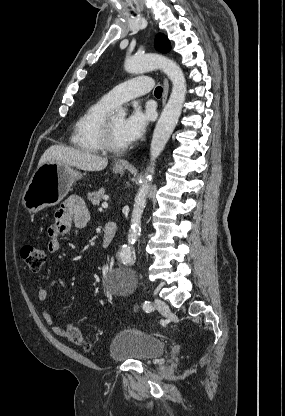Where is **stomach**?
Returning <instances> with one entry per match:
<instances>
[{"label":"stomach","mask_w":285,"mask_h":416,"mask_svg":"<svg viewBox=\"0 0 285 416\" xmlns=\"http://www.w3.org/2000/svg\"><path fill=\"white\" fill-rule=\"evenodd\" d=\"M126 166L115 164L114 174H124ZM131 170V168H127ZM84 174H79L72 170L68 164L62 162H47L34 172L26 190L23 194L22 204L30 214H36L48 206L59 204L68 192H70L74 182L80 180Z\"/></svg>","instance_id":"obj_1"}]
</instances>
